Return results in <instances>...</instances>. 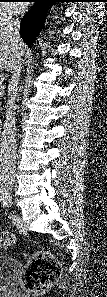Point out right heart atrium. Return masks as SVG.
<instances>
[{
  "mask_svg": "<svg viewBox=\"0 0 107 297\" xmlns=\"http://www.w3.org/2000/svg\"><path fill=\"white\" fill-rule=\"evenodd\" d=\"M11 19V14L9 11H7L4 8L0 9V20L3 21H9Z\"/></svg>",
  "mask_w": 107,
  "mask_h": 297,
  "instance_id": "right-heart-atrium-1",
  "label": "right heart atrium"
}]
</instances>
